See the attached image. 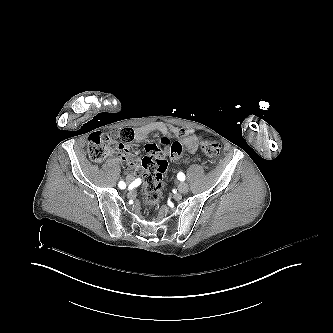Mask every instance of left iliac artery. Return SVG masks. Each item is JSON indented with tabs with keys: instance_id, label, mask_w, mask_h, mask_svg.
<instances>
[{
	"instance_id": "obj_1",
	"label": "left iliac artery",
	"mask_w": 333,
	"mask_h": 333,
	"mask_svg": "<svg viewBox=\"0 0 333 333\" xmlns=\"http://www.w3.org/2000/svg\"><path fill=\"white\" fill-rule=\"evenodd\" d=\"M177 178L180 180V181H184L185 180V175L180 172L178 175H177Z\"/></svg>"
}]
</instances>
